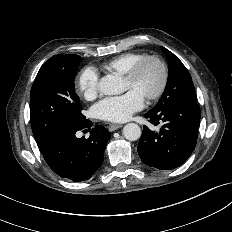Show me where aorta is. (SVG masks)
<instances>
[{"label":"aorta","mask_w":232,"mask_h":232,"mask_svg":"<svg viewBox=\"0 0 232 232\" xmlns=\"http://www.w3.org/2000/svg\"><path fill=\"white\" fill-rule=\"evenodd\" d=\"M99 90L105 95H117L124 91V82L116 75H107L100 79ZM122 132L129 141H136L141 136V129L135 123L126 124Z\"/></svg>","instance_id":"1"}]
</instances>
